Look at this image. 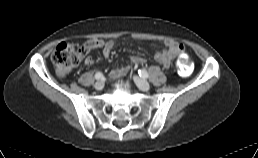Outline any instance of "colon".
Returning a JSON list of instances; mask_svg holds the SVG:
<instances>
[{
    "label": "colon",
    "mask_w": 258,
    "mask_h": 158,
    "mask_svg": "<svg viewBox=\"0 0 258 158\" xmlns=\"http://www.w3.org/2000/svg\"><path fill=\"white\" fill-rule=\"evenodd\" d=\"M88 45L76 46L70 43L59 44L52 53V62L56 73L60 77L68 76L73 68L90 51ZM192 60L186 53L182 52L177 60V71L181 76H188L191 73Z\"/></svg>",
    "instance_id": "1"
}]
</instances>
